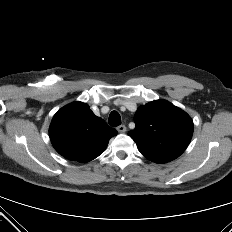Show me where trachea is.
Returning <instances> with one entry per match:
<instances>
[{
  "mask_svg": "<svg viewBox=\"0 0 232 232\" xmlns=\"http://www.w3.org/2000/svg\"><path fill=\"white\" fill-rule=\"evenodd\" d=\"M109 125L116 127L121 124V117L120 114L117 111H112L109 115Z\"/></svg>",
  "mask_w": 232,
  "mask_h": 232,
  "instance_id": "trachea-1",
  "label": "trachea"
}]
</instances>
